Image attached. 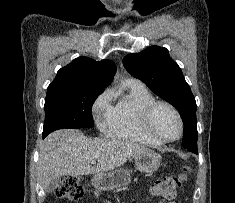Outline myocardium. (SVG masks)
Segmentation results:
<instances>
[{"label":"myocardium","mask_w":235,"mask_h":203,"mask_svg":"<svg viewBox=\"0 0 235 203\" xmlns=\"http://www.w3.org/2000/svg\"><path fill=\"white\" fill-rule=\"evenodd\" d=\"M161 106L169 108L177 118V121L179 123V133L174 138L167 139V138L159 137L151 129L152 117H153L155 111ZM141 124H142V128H143L144 132L152 140H154L158 144H167V143L175 142V141L179 140L183 136V133H184V122H183V119H182L180 112L178 111V109L174 105H172L171 103L166 102V101H157L156 100V101L148 104L142 112Z\"/></svg>","instance_id":"1"}]
</instances>
